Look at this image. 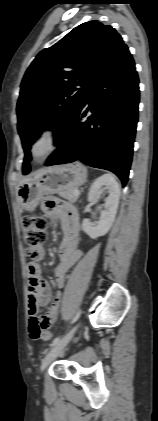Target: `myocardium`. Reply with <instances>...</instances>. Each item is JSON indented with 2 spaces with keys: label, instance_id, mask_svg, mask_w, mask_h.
Wrapping results in <instances>:
<instances>
[{
  "label": "myocardium",
  "instance_id": "myocardium-1",
  "mask_svg": "<svg viewBox=\"0 0 158 421\" xmlns=\"http://www.w3.org/2000/svg\"><path fill=\"white\" fill-rule=\"evenodd\" d=\"M60 130L54 124L43 125L33 136L29 146V153L33 161L40 163L51 156L59 147L60 144ZM46 141L48 148L45 152L38 154L36 147L41 142Z\"/></svg>",
  "mask_w": 158,
  "mask_h": 421
}]
</instances>
